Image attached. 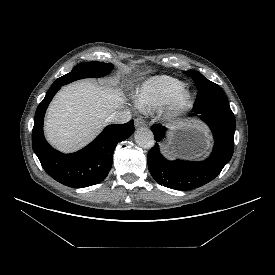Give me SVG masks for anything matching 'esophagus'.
I'll list each match as a JSON object with an SVG mask.
<instances>
[{"label": "esophagus", "instance_id": "1", "mask_svg": "<svg viewBox=\"0 0 275 275\" xmlns=\"http://www.w3.org/2000/svg\"><path fill=\"white\" fill-rule=\"evenodd\" d=\"M145 125V121L142 118H136L135 119V126L136 127H141Z\"/></svg>", "mask_w": 275, "mask_h": 275}]
</instances>
